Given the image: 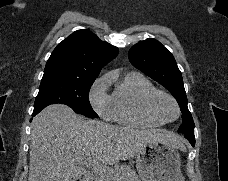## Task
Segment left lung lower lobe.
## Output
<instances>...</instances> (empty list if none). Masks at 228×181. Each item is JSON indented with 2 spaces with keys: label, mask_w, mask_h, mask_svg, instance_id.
Returning a JSON list of instances; mask_svg holds the SVG:
<instances>
[{
  "label": "left lung lower lobe",
  "mask_w": 228,
  "mask_h": 181,
  "mask_svg": "<svg viewBox=\"0 0 228 181\" xmlns=\"http://www.w3.org/2000/svg\"><path fill=\"white\" fill-rule=\"evenodd\" d=\"M185 135V138L189 140L192 146L195 145V136H194V131H187L183 133Z\"/></svg>",
  "instance_id": "1"
}]
</instances>
